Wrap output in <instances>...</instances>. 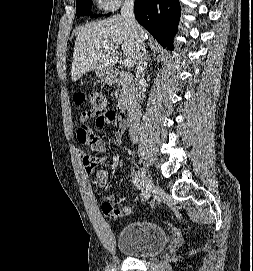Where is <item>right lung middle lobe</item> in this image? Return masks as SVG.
<instances>
[{
	"label": "right lung middle lobe",
	"instance_id": "1",
	"mask_svg": "<svg viewBox=\"0 0 253 271\" xmlns=\"http://www.w3.org/2000/svg\"><path fill=\"white\" fill-rule=\"evenodd\" d=\"M91 8V0H77L76 15H88Z\"/></svg>",
	"mask_w": 253,
	"mask_h": 271
}]
</instances>
